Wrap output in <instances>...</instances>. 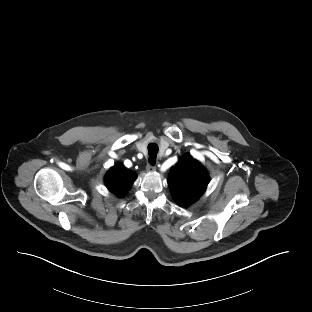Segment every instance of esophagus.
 <instances>
[{
    "instance_id": "obj_1",
    "label": "esophagus",
    "mask_w": 312,
    "mask_h": 312,
    "mask_svg": "<svg viewBox=\"0 0 312 312\" xmlns=\"http://www.w3.org/2000/svg\"><path fill=\"white\" fill-rule=\"evenodd\" d=\"M146 170H147V172H154L156 170V167L151 165V164H148L146 166Z\"/></svg>"
}]
</instances>
